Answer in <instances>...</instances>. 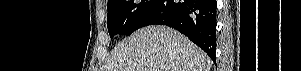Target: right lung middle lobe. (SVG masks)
<instances>
[{
	"mask_svg": "<svg viewBox=\"0 0 301 71\" xmlns=\"http://www.w3.org/2000/svg\"><path fill=\"white\" fill-rule=\"evenodd\" d=\"M157 0H108L107 27L110 37L130 35L140 28Z\"/></svg>",
	"mask_w": 301,
	"mask_h": 71,
	"instance_id": "right-lung-middle-lobe-1",
	"label": "right lung middle lobe"
}]
</instances>
